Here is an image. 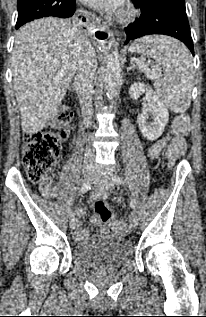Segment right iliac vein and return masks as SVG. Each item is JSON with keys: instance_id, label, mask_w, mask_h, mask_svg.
<instances>
[{"instance_id": "obj_1", "label": "right iliac vein", "mask_w": 206, "mask_h": 317, "mask_svg": "<svg viewBox=\"0 0 206 317\" xmlns=\"http://www.w3.org/2000/svg\"><path fill=\"white\" fill-rule=\"evenodd\" d=\"M93 176H94V174H93V171H92V170H86V171L84 172V179H85L86 181H91V180L93 179ZM76 225H77V220H76V219H72V220L70 221V228L73 230V229L76 228Z\"/></svg>"}]
</instances>
